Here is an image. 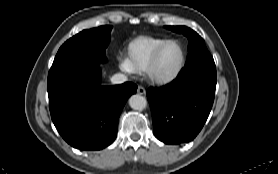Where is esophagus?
Segmentation results:
<instances>
[{
    "mask_svg": "<svg viewBox=\"0 0 278 174\" xmlns=\"http://www.w3.org/2000/svg\"><path fill=\"white\" fill-rule=\"evenodd\" d=\"M137 93H139L140 95H145L146 89L142 86H138Z\"/></svg>",
    "mask_w": 278,
    "mask_h": 174,
    "instance_id": "1",
    "label": "esophagus"
}]
</instances>
